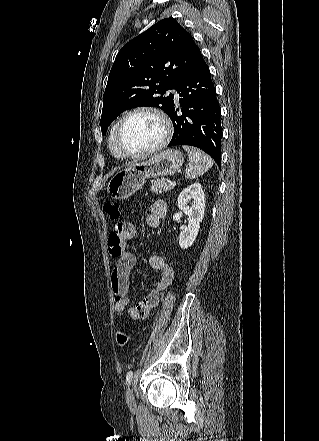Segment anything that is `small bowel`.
Returning a JSON list of instances; mask_svg holds the SVG:
<instances>
[{"mask_svg":"<svg viewBox=\"0 0 319 441\" xmlns=\"http://www.w3.org/2000/svg\"><path fill=\"white\" fill-rule=\"evenodd\" d=\"M167 206L163 200L152 203L146 216V223L151 228H157L160 221L166 215ZM136 235L135 226L124 222L115 226L108 240L109 252L117 259L111 274V288L114 296V311L116 314H123L128 307V291L130 288V274L136 265V255L127 249V242ZM149 265L158 271L159 281L155 288L141 298L137 303L128 308L132 319L147 318L154 307L157 306L160 294L173 280V270L160 255L149 257Z\"/></svg>","mask_w":319,"mask_h":441,"instance_id":"small-bowel-1","label":"small bowel"}]
</instances>
